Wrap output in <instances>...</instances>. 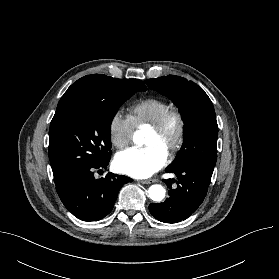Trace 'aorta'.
<instances>
[{"mask_svg":"<svg viewBox=\"0 0 279 279\" xmlns=\"http://www.w3.org/2000/svg\"><path fill=\"white\" fill-rule=\"evenodd\" d=\"M133 140L136 144L142 145L143 144V135L141 132H137L133 136ZM148 194L150 199L156 202H160L165 197V189L163 186L155 184L151 185L148 189Z\"/></svg>","mask_w":279,"mask_h":279,"instance_id":"aorta-1","label":"aorta"}]
</instances>
